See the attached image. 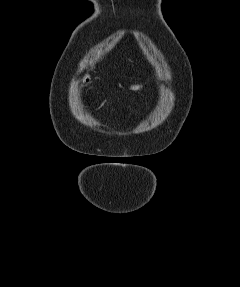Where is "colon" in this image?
Wrapping results in <instances>:
<instances>
[{
	"mask_svg": "<svg viewBox=\"0 0 240 287\" xmlns=\"http://www.w3.org/2000/svg\"><path fill=\"white\" fill-rule=\"evenodd\" d=\"M87 81H88L87 77H84L83 82H87Z\"/></svg>",
	"mask_w": 240,
	"mask_h": 287,
	"instance_id": "5ec220e1",
	"label": "colon"
}]
</instances>
